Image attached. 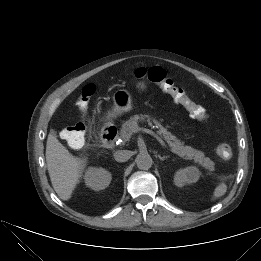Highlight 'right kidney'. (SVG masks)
<instances>
[{
	"label": "right kidney",
	"mask_w": 261,
	"mask_h": 261,
	"mask_svg": "<svg viewBox=\"0 0 261 261\" xmlns=\"http://www.w3.org/2000/svg\"><path fill=\"white\" fill-rule=\"evenodd\" d=\"M85 183L95 191L105 189L111 182V173L103 168L90 167L84 176Z\"/></svg>",
	"instance_id": "1"
}]
</instances>
